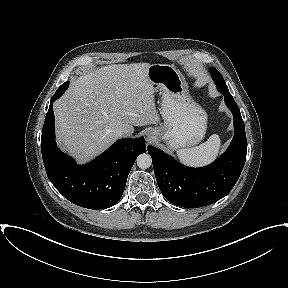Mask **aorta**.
Returning <instances> with one entry per match:
<instances>
[{
  "label": "aorta",
  "instance_id": "1",
  "mask_svg": "<svg viewBox=\"0 0 288 288\" xmlns=\"http://www.w3.org/2000/svg\"><path fill=\"white\" fill-rule=\"evenodd\" d=\"M136 162H137V166L140 169H147L151 166L152 159H151V156L149 154L143 153L137 157Z\"/></svg>",
  "mask_w": 288,
  "mask_h": 288
}]
</instances>
